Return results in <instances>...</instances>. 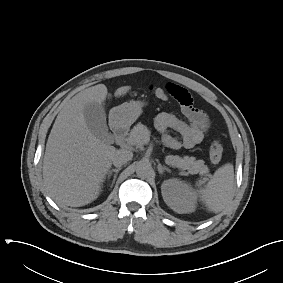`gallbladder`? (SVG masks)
Instances as JSON below:
<instances>
[{
  "label": "gallbladder",
  "instance_id": "bac80fb5",
  "mask_svg": "<svg viewBox=\"0 0 283 283\" xmlns=\"http://www.w3.org/2000/svg\"><path fill=\"white\" fill-rule=\"evenodd\" d=\"M84 118L87 127L96 137L105 140L110 136L103 105L98 103L87 104L84 108Z\"/></svg>",
  "mask_w": 283,
  "mask_h": 283
}]
</instances>
